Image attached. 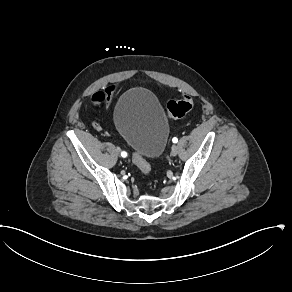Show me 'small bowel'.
Masks as SVG:
<instances>
[{
    "instance_id": "1",
    "label": "small bowel",
    "mask_w": 292,
    "mask_h": 292,
    "mask_svg": "<svg viewBox=\"0 0 292 292\" xmlns=\"http://www.w3.org/2000/svg\"><path fill=\"white\" fill-rule=\"evenodd\" d=\"M121 88V85L119 83L114 84H109L106 87L107 93L111 94L107 97V101L105 102V106L107 108H110L112 106V101L114 100V97L117 94L116 90H119ZM116 89V90H115Z\"/></svg>"
}]
</instances>
